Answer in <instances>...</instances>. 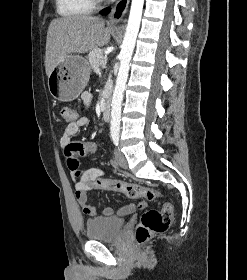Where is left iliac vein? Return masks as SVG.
Here are the masks:
<instances>
[{
	"mask_svg": "<svg viewBox=\"0 0 247 280\" xmlns=\"http://www.w3.org/2000/svg\"><path fill=\"white\" fill-rule=\"evenodd\" d=\"M115 158L121 168L126 169L128 167L127 159L119 149L115 150Z\"/></svg>",
	"mask_w": 247,
	"mask_h": 280,
	"instance_id": "obj_1",
	"label": "left iliac vein"
}]
</instances>
